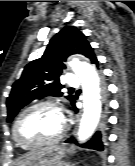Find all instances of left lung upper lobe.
<instances>
[{
    "mask_svg": "<svg viewBox=\"0 0 135 166\" xmlns=\"http://www.w3.org/2000/svg\"><path fill=\"white\" fill-rule=\"evenodd\" d=\"M76 53L90 60L95 58L86 36L76 27L66 26L50 40L43 56L30 62L24 68L21 78L13 84L7 99V122H11L18 111L34 99L62 96L60 89L63 85L60 84L59 77L66 68L64 61ZM66 98L71 103L75 99L73 95Z\"/></svg>",
    "mask_w": 135,
    "mask_h": 166,
    "instance_id": "left-lung-upper-lobe-1",
    "label": "left lung upper lobe"
}]
</instances>
